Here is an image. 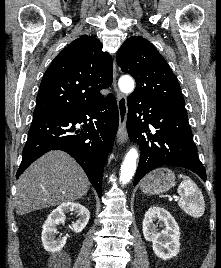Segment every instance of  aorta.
Returning a JSON list of instances; mask_svg holds the SVG:
<instances>
[{
    "instance_id": "obj_1",
    "label": "aorta",
    "mask_w": 221,
    "mask_h": 268,
    "mask_svg": "<svg viewBox=\"0 0 221 268\" xmlns=\"http://www.w3.org/2000/svg\"><path fill=\"white\" fill-rule=\"evenodd\" d=\"M119 88L123 93H131L134 90V80L132 77L125 75L119 79L118 82ZM138 158V152L135 148H131L121 165L120 168V182L124 185L130 182L135 171H136V163Z\"/></svg>"
}]
</instances>
